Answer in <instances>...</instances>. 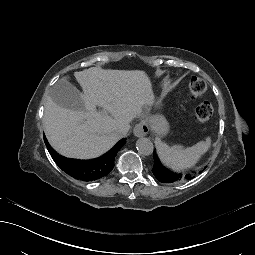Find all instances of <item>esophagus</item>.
Returning <instances> with one entry per match:
<instances>
[{
	"mask_svg": "<svg viewBox=\"0 0 255 255\" xmlns=\"http://www.w3.org/2000/svg\"><path fill=\"white\" fill-rule=\"evenodd\" d=\"M149 132V126L147 121L142 120L138 124L135 125L133 129V133L136 137H144L148 134Z\"/></svg>",
	"mask_w": 255,
	"mask_h": 255,
	"instance_id": "1",
	"label": "esophagus"
}]
</instances>
